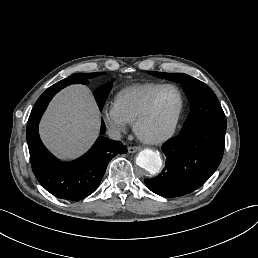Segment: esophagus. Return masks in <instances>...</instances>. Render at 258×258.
<instances>
[{"label":"esophagus","mask_w":258,"mask_h":258,"mask_svg":"<svg viewBox=\"0 0 258 258\" xmlns=\"http://www.w3.org/2000/svg\"><path fill=\"white\" fill-rule=\"evenodd\" d=\"M140 150H141L140 146H130V147H128V152L129 153H135V152L140 151Z\"/></svg>","instance_id":"esophagus-1"}]
</instances>
